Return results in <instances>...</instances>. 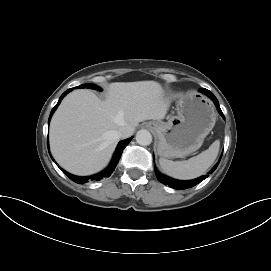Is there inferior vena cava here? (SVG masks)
Wrapping results in <instances>:
<instances>
[{
  "label": "inferior vena cava",
  "instance_id": "602c4592",
  "mask_svg": "<svg viewBox=\"0 0 271 271\" xmlns=\"http://www.w3.org/2000/svg\"><path fill=\"white\" fill-rule=\"evenodd\" d=\"M133 133H134V128L129 125L122 126L117 131V134L120 138H128L132 136Z\"/></svg>",
  "mask_w": 271,
  "mask_h": 271
}]
</instances>
